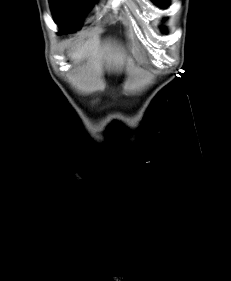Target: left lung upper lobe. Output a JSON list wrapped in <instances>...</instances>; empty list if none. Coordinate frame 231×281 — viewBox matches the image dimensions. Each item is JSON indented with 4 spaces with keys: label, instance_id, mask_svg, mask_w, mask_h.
I'll list each match as a JSON object with an SVG mask.
<instances>
[{
    "label": "left lung upper lobe",
    "instance_id": "obj_1",
    "mask_svg": "<svg viewBox=\"0 0 231 281\" xmlns=\"http://www.w3.org/2000/svg\"><path fill=\"white\" fill-rule=\"evenodd\" d=\"M155 3L161 7H166L168 4V0H154Z\"/></svg>",
    "mask_w": 231,
    "mask_h": 281
}]
</instances>
